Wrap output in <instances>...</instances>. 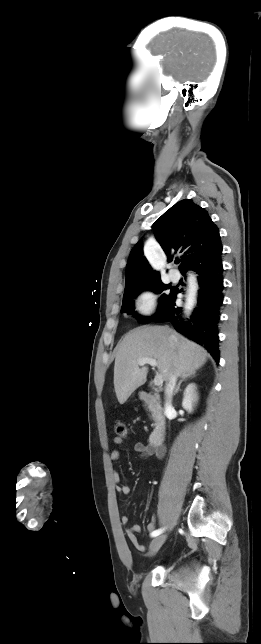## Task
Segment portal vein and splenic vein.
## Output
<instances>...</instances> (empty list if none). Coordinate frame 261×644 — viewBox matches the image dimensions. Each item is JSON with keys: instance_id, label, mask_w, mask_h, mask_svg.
<instances>
[{"instance_id": "obj_1", "label": "portal vein and splenic vein", "mask_w": 261, "mask_h": 644, "mask_svg": "<svg viewBox=\"0 0 261 644\" xmlns=\"http://www.w3.org/2000/svg\"><path fill=\"white\" fill-rule=\"evenodd\" d=\"M138 365L143 366L145 364H149L152 367L157 366V361L154 358H141L137 361ZM163 383V377L161 374L157 373L155 378H154V385L155 386H160Z\"/></svg>"}]
</instances>
